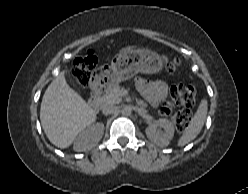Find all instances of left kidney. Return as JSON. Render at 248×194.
Returning <instances> with one entry per match:
<instances>
[{"mask_svg":"<svg viewBox=\"0 0 248 194\" xmlns=\"http://www.w3.org/2000/svg\"><path fill=\"white\" fill-rule=\"evenodd\" d=\"M157 127L164 129V133L162 135H159ZM146 135L148 139L157 146L166 147L173 138L174 126L169 120L160 118L155 123L149 125V127L146 129Z\"/></svg>","mask_w":248,"mask_h":194,"instance_id":"1","label":"left kidney"}]
</instances>
